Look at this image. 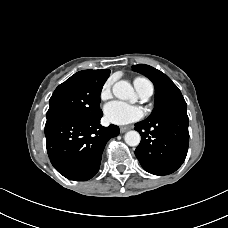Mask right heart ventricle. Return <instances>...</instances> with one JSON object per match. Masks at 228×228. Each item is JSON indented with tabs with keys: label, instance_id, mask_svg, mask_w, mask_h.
Segmentation results:
<instances>
[{
	"label": "right heart ventricle",
	"instance_id": "right-heart-ventricle-1",
	"mask_svg": "<svg viewBox=\"0 0 228 228\" xmlns=\"http://www.w3.org/2000/svg\"><path fill=\"white\" fill-rule=\"evenodd\" d=\"M147 84H149V82L145 78L137 77L134 79V85L138 92L141 91Z\"/></svg>",
	"mask_w": 228,
	"mask_h": 228
}]
</instances>
